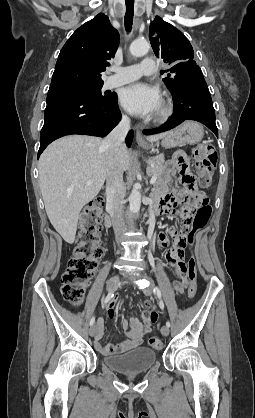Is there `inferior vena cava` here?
<instances>
[{"instance_id": "obj_1", "label": "inferior vena cava", "mask_w": 255, "mask_h": 418, "mask_svg": "<svg viewBox=\"0 0 255 418\" xmlns=\"http://www.w3.org/2000/svg\"><path fill=\"white\" fill-rule=\"evenodd\" d=\"M130 129V119L122 116L119 124L104 139L102 146L107 151V183H106V207L110 212L116 238L125 230L123 218V201L125 197V186L123 182V171L120 167L118 154Z\"/></svg>"}]
</instances>
